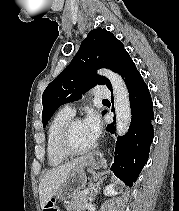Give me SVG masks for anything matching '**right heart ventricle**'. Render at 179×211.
Wrapping results in <instances>:
<instances>
[{
    "instance_id": "right-heart-ventricle-1",
    "label": "right heart ventricle",
    "mask_w": 179,
    "mask_h": 211,
    "mask_svg": "<svg viewBox=\"0 0 179 211\" xmlns=\"http://www.w3.org/2000/svg\"><path fill=\"white\" fill-rule=\"evenodd\" d=\"M73 114L65 110H59L51 119L46 133V158L50 167H58L64 164L68 157L59 148V137L61 131Z\"/></svg>"
}]
</instances>
